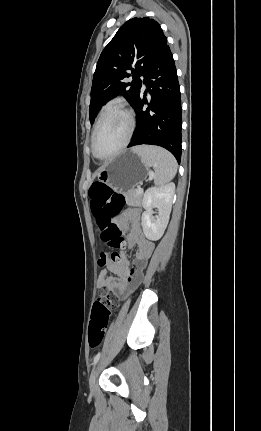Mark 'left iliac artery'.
Wrapping results in <instances>:
<instances>
[{
  "instance_id": "1",
  "label": "left iliac artery",
  "mask_w": 261,
  "mask_h": 431,
  "mask_svg": "<svg viewBox=\"0 0 261 431\" xmlns=\"http://www.w3.org/2000/svg\"><path fill=\"white\" fill-rule=\"evenodd\" d=\"M100 356H101V353L99 352L93 359V365H95L98 362V360L100 359Z\"/></svg>"
}]
</instances>
